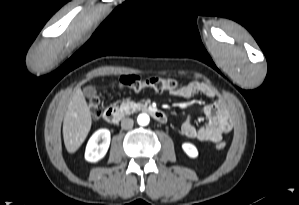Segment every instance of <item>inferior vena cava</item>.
Masks as SVG:
<instances>
[{
	"instance_id": "obj_1",
	"label": "inferior vena cava",
	"mask_w": 299,
	"mask_h": 205,
	"mask_svg": "<svg viewBox=\"0 0 299 205\" xmlns=\"http://www.w3.org/2000/svg\"><path fill=\"white\" fill-rule=\"evenodd\" d=\"M134 121L131 118H124L121 121V127L122 129L128 130L133 127Z\"/></svg>"
}]
</instances>
